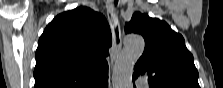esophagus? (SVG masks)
Wrapping results in <instances>:
<instances>
[{"mask_svg":"<svg viewBox=\"0 0 223 88\" xmlns=\"http://www.w3.org/2000/svg\"><path fill=\"white\" fill-rule=\"evenodd\" d=\"M107 19L112 32V47L110 49V61L111 65H113L122 47L121 30H120L118 15L116 13L114 0L107 1Z\"/></svg>","mask_w":223,"mask_h":88,"instance_id":"obj_1","label":"esophagus"}]
</instances>
